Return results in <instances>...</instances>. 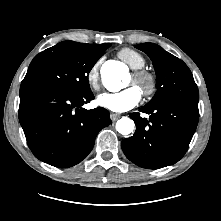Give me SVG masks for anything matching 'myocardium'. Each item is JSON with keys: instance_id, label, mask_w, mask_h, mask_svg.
<instances>
[{"instance_id": "1", "label": "myocardium", "mask_w": 221, "mask_h": 221, "mask_svg": "<svg viewBox=\"0 0 221 221\" xmlns=\"http://www.w3.org/2000/svg\"><path fill=\"white\" fill-rule=\"evenodd\" d=\"M132 79L145 97H151L157 91L158 79L152 71L145 69L135 70L132 74Z\"/></svg>"}]
</instances>
